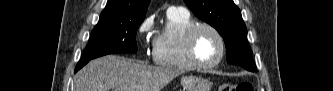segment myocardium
I'll return each mask as SVG.
<instances>
[{"instance_id": "myocardium-1", "label": "myocardium", "mask_w": 333, "mask_h": 91, "mask_svg": "<svg viewBox=\"0 0 333 91\" xmlns=\"http://www.w3.org/2000/svg\"><path fill=\"white\" fill-rule=\"evenodd\" d=\"M209 30L211 31L219 40L220 43V54L218 58L210 63H203L199 60V58L196 55V38L197 35L201 30ZM186 49L187 54L191 62L197 67L201 69H212L216 66H218L224 59L226 54V42L222 35V33L213 25L208 23H198L195 24L186 34Z\"/></svg>"}]
</instances>
